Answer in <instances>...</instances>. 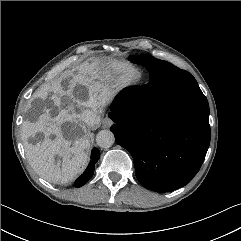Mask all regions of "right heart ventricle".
Wrapping results in <instances>:
<instances>
[{
    "instance_id": "e07e8e85",
    "label": "right heart ventricle",
    "mask_w": 241,
    "mask_h": 241,
    "mask_svg": "<svg viewBox=\"0 0 241 241\" xmlns=\"http://www.w3.org/2000/svg\"><path fill=\"white\" fill-rule=\"evenodd\" d=\"M129 66L127 63H116L111 67V74L117 77Z\"/></svg>"
}]
</instances>
